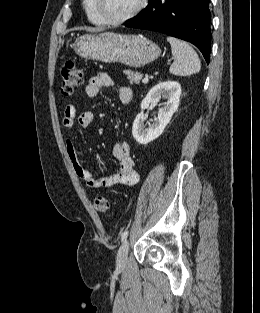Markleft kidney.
<instances>
[{
  "label": "left kidney",
  "mask_w": 260,
  "mask_h": 313,
  "mask_svg": "<svg viewBox=\"0 0 260 313\" xmlns=\"http://www.w3.org/2000/svg\"><path fill=\"white\" fill-rule=\"evenodd\" d=\"M181 86L176 81H166L154 86L141 102V112L136 116L132 134L139 144H148L158 138L177 111L180 103ZM163 98L165 102L159 108L158 116L148 127L144 124V110L150 104H157Z\"/></svg>",
  "instance_id": "5707ae66"
}]
</instances>
